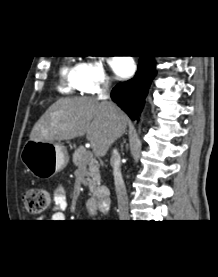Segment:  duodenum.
I'll list each match as a JSON object with an SVG mask.
<instances>
[{
    "mask_svg": "<svg viewBox=\"0 0 218 277\" xmlns=\"http://www.w3.org/2000/svg\"><path fill=\"white\" fill-rule=\"evenodd\" d=\"M94 201L101 210H107L110 205V189L106 186L97 188L95 190Z\"/></svg>",
    "mask_w": 218,
    "mask_h": 277,
    "instance_id": "duodenum-1",
    "label": "duodenum"
}]
</instances>
